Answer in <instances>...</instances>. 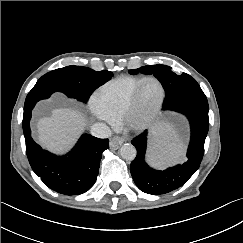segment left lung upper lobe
<instances>
[{"instance_id":"5c2ea615","label":"left lung upper lobe","mask_w":243,"mask_h":243,"mask_svg":"<svg viewBox=\"0 0 243 243\" xmlns=\"http://www.w3.org/2000/svg\"><path fill=\"white\" fill-rule=\"evenodd\" d=\"M138 72L153 74L161 82L165 90L163 105L185 93L201 89L197 81L190 75L186 73L177 75L171 70V67L166 65H148L129 70L130 74Z\"/></svg>"}]
</instances>
